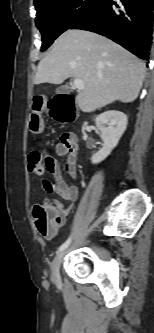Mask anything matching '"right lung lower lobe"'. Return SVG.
Wrapping results in <instances>:
<instances>
[{"instance_id": "98d812e1", "label": "right lung lower lobe", "mask_w": 154, "mask_h": 333, "mask_svg": "<svg viewBox=\"0 0 154 333\" xmlns=\"http://www.w3.org/2000/svg\"><path fill=\"white\" fill-rule=\"evenodd\" d=\"M154 0H101L69 29H82L110 38L141 59H149Z\"/></svg>"}]
</instances>
